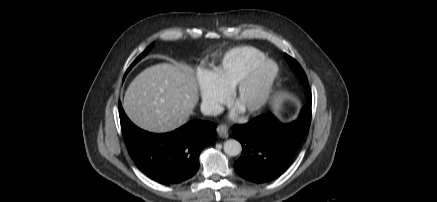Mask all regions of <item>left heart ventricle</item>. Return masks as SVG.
I'll use <instances>...</instances> for the list:
<instances>
[{
    "instance_id": "b2bd125f",
    "label": "left heart ventricle",
    "mask_w": 437,
    "mask_h": 202,
    "mask_svg": "<svg viewBox=\"0 0 437 202\" xmlns=\"http://www.w3.org/2000/svg\"><path fill=\"white\" fill-rule=\"evenodd\" d=\"M272 67L267 66L261 70L258 77L254 81V83L247 89V91L242 95L240 100L237 102L236 107L241 111L243 108L248 107L255 103L258 99L262 88L271 75Z\"/></svg>"
}]
</instances>
